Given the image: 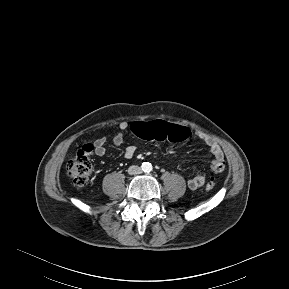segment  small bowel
<instances>
[{"label": "small bowel", "mask_w": 289, "mask_h": 289, "mask_svg": "<svg viewBox=\"0 0 289 289\" xmlns=\"http://www.w3.org/2000/svg\"><path fill=\"white\" fill-rule=\"evenodd\" d=\"M133 125L134 123L130 125L129 123L125 121L121 122L119 124V132L115 134L112 139L113 145L120 146L124 140V132L129 128L133 131ZM197 136L204 141V143L208 146L213 156L209 171L213 173L222 172L225 168V160H224L223 151L220 148V146L214 140L205 136L202 133L198 132ZM105 144H106V138H103V137L98 138L94 141L93 148L97 156H104L106 154ZM135 152H136V148L134 146H127L124 150L123 155L125 158L129 159L134 156ZM206 178H207L206 172L195 175L188 181L189 188L192 190H195V189L202 187L206 181Z\"/></svg>", "instance_id": "1"}]
</instances>
